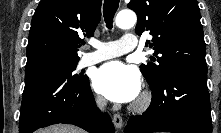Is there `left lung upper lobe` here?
Returning <instances> with one entry per match:
<instances>
[{
  "label": "left lung upper lobe",
  "mask_w": 221,
  "mask_h": 133,
  "mask_svg": "<svg viewBox=\"0 0 221 133\" xmlns=\"http://www.w3.org/2000/svg\"><path fill=\"white\" fill-rule=\"evenodd\" d=\"M127 6L138 15L136 33L149 31L153 36L148 43L156 58L140 66L150 86H156L177 69L207 72L206 46L196 0H131Z\"/></svg>",
  "instance_id": "5c2ea615"
}]
</instances>
